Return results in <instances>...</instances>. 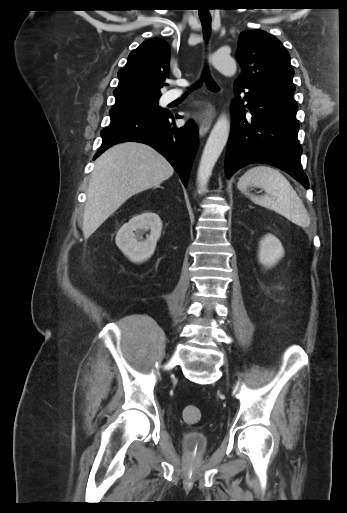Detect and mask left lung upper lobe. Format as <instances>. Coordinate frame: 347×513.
I'll use <instances>...</instances> for the list:
<instances>
[{"label": "left lung upper lobe", "instance_id": "left-lung-upper-lobe-1", "mask_svg": "<svg viewBox=\"0 0 347 513\" xmlns=\"http://www.w3.org/2000/svg\"><path fill=\"white\" fill-rule=\"evenodd\" d=\"M236 58L242 70L235 83L295 90L289 53L269 33L259 29L240 33Z\"/></svg>", "mask_w": 347, "mask_h": 513}]
</instances>
